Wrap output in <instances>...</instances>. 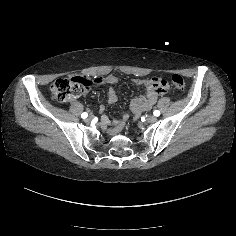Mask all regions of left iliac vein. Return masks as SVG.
Masks as SVG:
<instances>
[{"label":"left iliac vein","mask_w":236,"mask_h":236,"mask_svg":"<svg viewBox=\"0 0 236 236\" xmlns=\"http://www.w3.org/2000/svg\"><path fill=\"white\" fill-rule=\"evenodd\" d=\"M146 121H147L148 123H155V122L157 121V117L154 116V115H150V116H148V117L146 118Z\"/></svg>","instance_id":"1"}]
</instances>
